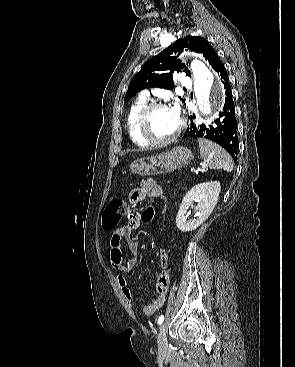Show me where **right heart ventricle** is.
I'll return each mask as SVG.
<instances>
[{"label":"right heart ventricle","instance_id":"e07e8e85","mask_svg":"<svg viewBox=\"0 0 295 367\" xmlns=\"http://www.w3.org/2000/svg\"><path fill=\"white\" fill-rule=\"evenodd\" d=\"M148 104V100L145 98L137 99L129 108L126 117V126L130 139L132 142L141 148H146L150 144L147 143L139 134L138 131V119L143 108Z\"/></svg>","mask_w":295,"mask_h":367}]
</instances>
